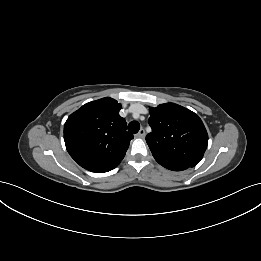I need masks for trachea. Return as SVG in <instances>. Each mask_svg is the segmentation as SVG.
<instances>
[{"label": "trachea", "mask_w": 261, "mask_h": 261, "mask_svg": "<svg viewBox=\"0 0 261 261\" xmlns=\"http://www.w3.org/2000/svg\"><path fill=\"white\" fill-rule=\"evenodd\" d=\"M140 129V124L137 121H131L128 125V131L132 134H136Z\"/></svg>", "instance_id": "trachea-1"}]
</instances>
